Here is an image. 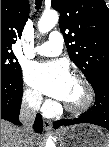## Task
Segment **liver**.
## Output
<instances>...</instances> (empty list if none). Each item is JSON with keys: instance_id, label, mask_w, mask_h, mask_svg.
<instances>
[{"instance_id": "liver-1", "label": "liver", "mask_w": 109, "mask_h": 147, "mask_svg": "<svg viewBox=\"0 0 109 147\" xmlns=\"http://www.w3.org/2000/svg\"><path fill=\"white\" fill-rule=\"evenodd\" d=\"M23 132L6 120H1V147H22ZM33 140L36 137L33 135Z\"/></svg>"}]
</instances>
